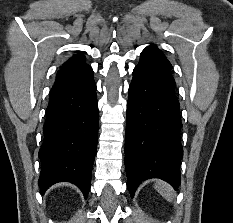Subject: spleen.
<instances>
[{"label": "spleen", "mask_w": 233, "mask_h": 223, "mask_svg": "<svg viewBox=\"0 0 233 223\" xmlns=\"http://www.w3.org/2000/svg\"><path fill=\"white\" fill-rule=\"evenodd\" d=\"M155 189L167 199V201H171V199H174L176 193L173 191V187L169 185V183H166V181H162V179H157L154 183Z\"/></svg>", "instance_id": "1"}]
</instances>
